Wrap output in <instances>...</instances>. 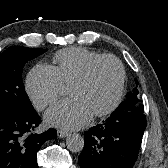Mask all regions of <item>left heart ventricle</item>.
<instances>
[{"label":"left heart ventricle","mask_w":168,"mask_h":168,"mask_svg":"<svg viewBox=\"0 0 168 168\" xmlns=\"http://www.w3.org/2000/svg\"><path fill=\"white\" fill-rule=\"evenodd\" d=\"M118 79L119 71L115 62L105 60L94 68L86 82L70 85L69 93L82 98L92 113H95L111 102L117 90Z\"/></svg>","instance_id":"1"}]
</instances>
